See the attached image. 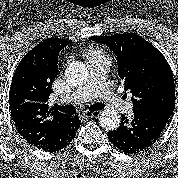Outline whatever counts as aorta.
I'll use <instances>...</instances> for the list:
<instances>
[{
  "mask_svg": "<svg viewBox=\"0 0 178 178\" xmlns=\"http://www.w3.org/2000/svg\"><path fill=\"white\" fill-rule=\"evenodd\" d=\"M87 78L88 69L81 62L71 63L65 71L66 82L72 87L84 85ZM99 122L106 130H114L120 125V116L114 108H106L100 113Z\"/></svg>",
  "mask_w": 178,
  "mask_h": 178,
  "instance_id": "obj_1",
  "label": "aorta"
}]
</instances>
